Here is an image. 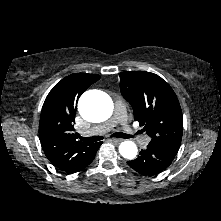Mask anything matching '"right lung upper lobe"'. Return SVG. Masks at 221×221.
Instances as JSON below:
<instances>
[{
	"label": "right lung upper lobe",
	"instance_id": "1",
	"mask_svg": "<svg viewBox=\"0 0 221 221\" xmlns=\"http://www.w3.org/2000/svg\"><path fill=\"white\" fill-rule=\"evenodd\" d=\"M99 75L74 73L58 82L43 104L39 138L46 157L58 169L74 173L83 167L95 143L77 140L73 124L81 94Z\"/></svg>",
	"mask_w": 221,
	"mask_h": 221
}]
</instances>
